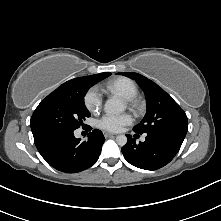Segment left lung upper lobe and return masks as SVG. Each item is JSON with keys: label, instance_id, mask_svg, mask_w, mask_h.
<instances>
[{"label": "left lung upper lobe", "instance_id": "1", "mask_svg": "<svg viewBox=\"0 0 221 221\" xmlns=\"http://www.w3.org/2000/svg\"><path fill=\"white\" fill-rule=\"evenodd\" d=\"M135 79L146 95L147 112L133 130L136 133H176L185 136L188 119L185 112L161 87L137 73H119Z\"/></svg>", "mask_w": 221, "mask_h": 221}]
</instances>
